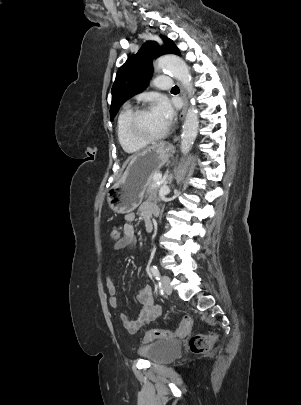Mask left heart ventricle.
I'll list each match as a JSON object with an SVG mask.
<instances>
[{"label":"left heart ventricle","instance_id":"b2bd125f","mask_svg":"<svg viewBox=\"0 0 301 405\" xmlns=\"http://www.w3.org/2000/svg\"><path fill=\"white\" fill-rule=\"evenodd\" d=\"M167 125L158 114L150 109L140 117L138 130L145 136H155L161 133Z\"/></svg>","mask_w":301,"mask_h":405}]
</instances>
